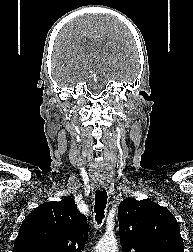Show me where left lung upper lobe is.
Listing matches in <instances>:
<instances>
[{
	"label": "left lung upper lobe",
	"mask_w": 193,
	"mask_h": 252,
	"mask_svg": "<svg viewBox=\"0 0 193 252\" xmlns=\"http://www.w3.org/2000/svg\"><path fill=\"white\" fill-rule=\"evenodd\" d=\"M123 252H184L173 214L153 201L127 198L118 207Z\"/></svg>",
	"instance_id": "obj_1"
}]
</instances>
